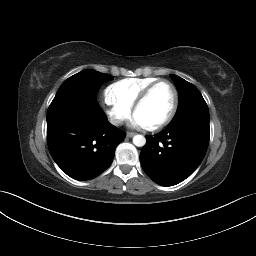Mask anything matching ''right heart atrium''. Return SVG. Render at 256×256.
Wrapping results in <instances>:
<instances>
[{
	"label": "right heart atrium",
	"mask_w": 256,
	"mask_h": 256,
	"mask_svg": "<svg viewBox=\"0 0 256 256\" xmlns=\"http://www.w3.org/2000/svg\"><path fill=\"white\" fill-rule=\"evenodd\" d=\"M105 114L109 121L115 125H122L131 115V109L121 104L110 101L105 97Z\"/></svg>",
	"instance_id": "right-heart-atrium-1"
}]
</instances>
